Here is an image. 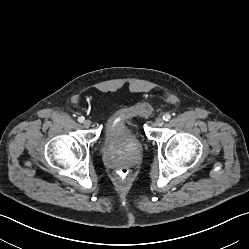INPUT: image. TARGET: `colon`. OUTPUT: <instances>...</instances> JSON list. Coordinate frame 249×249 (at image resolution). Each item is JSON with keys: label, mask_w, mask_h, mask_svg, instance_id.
Segmentation results:
<instances>
[{"label": "colon", "mask_w": 249, "mask_h": 249, "mask_svg": "<svg viewBox=\"0 0 249 249\" xmlns=\"http://www.w3.org/2000/svg\"><path fill=\"white\" fill-rule=\"evenodd\" d=\"M116 175L121 180H127L130 176V170L126 167H121L116 171Z\"/></svg>", "instance_id": "colon-1"}]
</instances>
